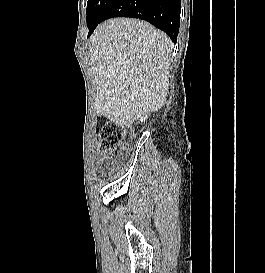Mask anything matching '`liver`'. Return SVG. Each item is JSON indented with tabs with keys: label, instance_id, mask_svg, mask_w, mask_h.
Wrapping results in <instances>:
<instances>
[{
	"label": "liver",
	"instance_id": "1",
	"mask_svg": "<svg viewBox=\"0 0 265 273\" xmlns=\"http://www.w3.org/2000/svg\"><path fill=\"white\" fill-rule=\"evenodd\" d=\"M172 41L148 22L130 18L100 24L90 39L97 114L129 127L166 101Z\"/></svg>",
	"mask_w": 265,
	"mask_h": 273
}]
</instances>
